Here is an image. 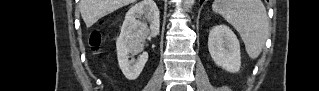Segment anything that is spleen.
<instances>
[{"instance_id": "spleen-1", "label": "spleen", "mask_w": 319, "mask_h": 91, "mask_svg": "<svg viewBox=\"0 0 319 91\" xmlns=\"http://www.w3.org/2000/svg\"><path fill=\"white\" fill-rule=\"evenodd\" d=\"M212 9L240 34L251 59H256L269 33L266 9L261 0H215Z\"/></svg>"}]
</instances>
